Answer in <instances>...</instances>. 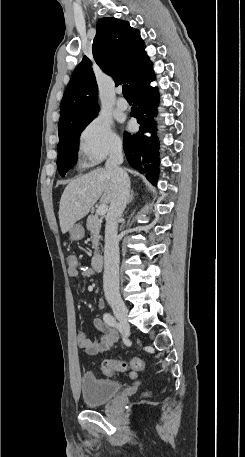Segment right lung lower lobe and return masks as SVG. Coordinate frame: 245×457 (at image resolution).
<instances>
[{"label":"right lung lower lobe","mask_w":245,"mask_h":457,"mask_svg":"<svg viewBox=\"0 0 245 457\" xmlns=\"http://www.w3.org/2000/svg\"><path fill=\"white\" fill-rule=\"evenodd\" d=\"M154 79L153 72L131 87L134 104L130 115L137 119L140 128L133 135L124 133L123 148L129 164L156 185L159 174L158 140L156 136L144 135L146 132H152L151 129L155 130L152 128L155 122L151 117L156 114L159 95L157 90L149 85Z\"/></svg>","instance_id":"right-lung-lower-lobe-1"}]
</instances>
